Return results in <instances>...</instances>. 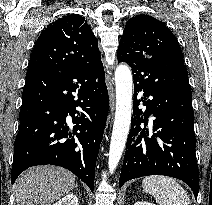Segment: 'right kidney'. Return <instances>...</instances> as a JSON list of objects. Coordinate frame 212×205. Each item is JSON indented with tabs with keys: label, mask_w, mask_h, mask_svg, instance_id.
Here are the masks:
<instances>
[{
	"label": "right kidney",
	"mask_w": 212,
	"mask_h": 205,
	"mask_svg": "<svg viewBox=\"0 0 212 205\" xmlns=\"http://www.w3.org/2000/svg\"><path fill=\"white\" fill-rule=\"evenodd\" d=\"M53 205H79V203L75 194H68Z\"/></svg>",
	"instance_id": "obj_1"
}]
</instances>
